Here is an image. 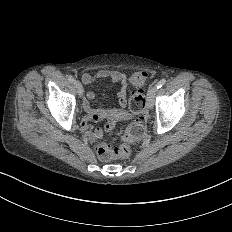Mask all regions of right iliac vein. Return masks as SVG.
I'll return each mask as SVG.
<instances>
[{
	"label": "right iliac vein",
	"mask_w": 232,
	"mask_h": 232,
	"mask_svg": "<svg viewBox=\"0 0 232 232\" xmlns=\"http://www.w3.org/2000/svg\"><path fill=\"white\" fill-rule=\"evenodd\" d=\"M74 84H75V86L77 88V94L81 95L82 94V86H81V84L79 83V81H74Z\"/></svg>",
	"instance_id": "obj_1"
}]
</instances>
